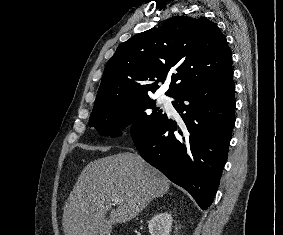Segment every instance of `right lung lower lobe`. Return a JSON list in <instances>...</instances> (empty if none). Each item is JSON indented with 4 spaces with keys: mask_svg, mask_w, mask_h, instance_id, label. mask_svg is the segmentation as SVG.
<instances>
[{
    "mask_svg": "<svg viewBox=\"0 0 283 235\" xmlns=\"http://www.w3.org/2000/svg\"><path fill=\"white\" fill-rule=\"evenodd\" d=\"M233 72L176 94L183 122L168 116L133 139L141 157L186 189L199 207L213 202L235 124Z\"/></svg>",
    "mask_w": 283,
    "mask_h": 235,
    "instance_id": "right-lung-lower-lobe-1",
    "label": "right lung lower lobe"
}]
</instances>
